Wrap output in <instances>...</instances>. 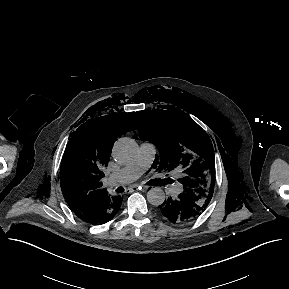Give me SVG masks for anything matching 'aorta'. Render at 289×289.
<instances>
[{
    "label": "aorta",
    "instance_id": "762f6f07",
    "mask_svg": "<svg viewBox=\"0 0 289 289\" xmlns=\"http://www.w3.org/2000/svg\"><path fill=\"white\" fill-rule=\"evenodd\" d=\"M137 154L138 145L130 138L118 139L112 148L113 158L121 164L132 162ZM147 200L153 206H160L165 201V193L160 187H153L147 192Z\"/></svg>",
    "mask_w": 289,
    "mask_h": 289
}]
</instances>
